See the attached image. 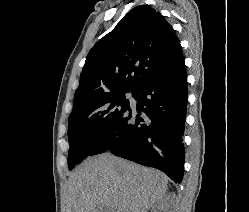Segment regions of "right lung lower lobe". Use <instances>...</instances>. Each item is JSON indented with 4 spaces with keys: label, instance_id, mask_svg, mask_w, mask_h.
<instances>
[{
    "label": "right lung lower lobe",
    "instance_id": "1",
    "mask_svg": "<svg viewBox=\"0 0 249 212\" xmlns=\"http://www.w3.org/2000/svg\"><path fill=\"white\" fill-rule=\"evenodd\" d=\"M184 56L133 92L136 109L129 107L96 154L106 151L157 168L180 183L184 169V133L187 109ZM136 112L138 113L136 115Z\"/></svg>",
    "mask_w": 249,
    "mask_h": 212
}]
</instances>
